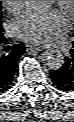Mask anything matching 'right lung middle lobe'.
Returning a JSON list of instances; mask_svg holds the SVG:
<instances>
[{"label":"right lung middle lobe","mask_w":74,"mask_h":122,"mask_svg":"<svg viewBox=\"0 0 74 122\" xmlns=\"http://www.w3.org/2000/svg\"><path fill=\"white\" fill-rule=\"evenodd\" d=\"M3 39L2 28L0 27V40Z\"/></svg>","instance_id":"dd1d6c3e"}]
</instances>
